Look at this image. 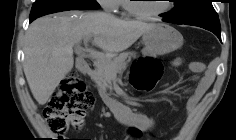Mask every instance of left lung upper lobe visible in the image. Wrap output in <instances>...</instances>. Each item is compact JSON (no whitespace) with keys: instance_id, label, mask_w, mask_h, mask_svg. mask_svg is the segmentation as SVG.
Masks as SVG:
<instances>
[{"instance_id":"1","label":"left lung upper lobe","mask_w":236,"mask_h":140,"mask_svg":"<svg viewBox=\"0 0 236 140\" xmlns=\"http://www.w3.org/2000/svg\"><path fill=\"white\" fill-rule=\"evenodd\" d=\"M173 2L175 8L161 15L169 22L221 32L220 21L212 0H173Z\"/></svg>"}]
</instances>
